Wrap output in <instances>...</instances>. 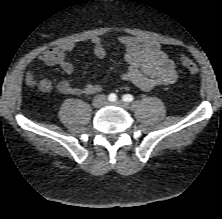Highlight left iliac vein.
Segmentation results:
<instances>
[{
  "mask_svg": "<svg viewBox=\"0 0 222 219\" xmlns=\"http://www.w3.org/2000/svg\"><path fill=\"white\" fill-rule=\"evenodd\" d=\"M116 105H119L123 108H128V103H126L125 101H122V100H118L115 102Z\"/></svg>",
  "mask_w": 222,
  "mask_h": 219,
  "instance_id": "obj_1",
  "label": "left iliac vein"
}]
</instances>
